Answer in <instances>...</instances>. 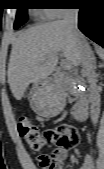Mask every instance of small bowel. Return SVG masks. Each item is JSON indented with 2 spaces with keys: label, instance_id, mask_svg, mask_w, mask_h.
Wrapping results in <instances>:
<instances>
[{
  "label": "small bowel",
  "instance_id": "1",
  "mask_svg": "<svg viewBox=\"0 0 104 169\" xmlns=\"http://www.w3.org/2000/svg\"><path fill=\"white\" fill-rule=\"evenodd\" d=\"M68 152L69 150L67 147L61 146L60 144L57 145L53 152L54 165L52 169H62L64 162L68 158ZM80 169H94V162L91 156L86 155L84 157Z\"/></svg>",
  "mask_w": 104,
  "mask_h": 169
}]
</instances>
